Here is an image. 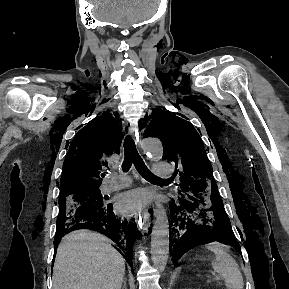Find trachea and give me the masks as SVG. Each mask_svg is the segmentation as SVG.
Instances as JSON below:
<instances>
[{"instance_id":"obj_1","label":"trachea","mask_w":289,"mask_h":289,"mask_svg":"<svg viewBox=\"0 0 289 289\" xmlns=\"http://www.w3.org/2000/svg\"><path fill=\"white\" fill-rule=\"evenodd\" d=\"M134 164L136 170L145 179L162 180L155 176L145 165L142 158L139 156L135 143L130 136H126L124 140V161L122 163V170L128 172L131 165Z\"/></svg>"}]
</instances>
